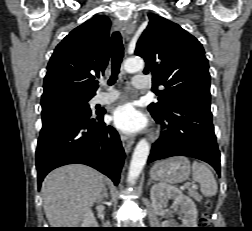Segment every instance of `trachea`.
<instances>
[{
	"label": "trachea",
	"mask_w": 252,
	"mask_h": 231,
	"mask_svg": "<svg viewBox=\"0 0 252 231\" xmlns=\"http://www.w3.org/2000/svg\"><path fill=\"white\" fill-rule=\"evenodd\" d=\"M112 75L108 80V85H113L117 76L120 72L121 62L124 56V48L122 44V37L119 32H114L112 34Z\"/></svg>",
	"instance_id": "1"
}]
</instances>
